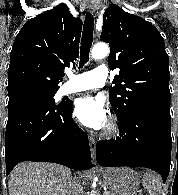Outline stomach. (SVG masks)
<instances>
[{"label": "stomach", "instance_id": "1", "mask_svg": "<svg viewBox=\"0 0 178 195\" xmlns=\"http://www.w3.org/2000/svg\"><path fill=\"white\" fill-rule=\"evenodd\" d=\"M109 195H137L140 185L139 175L131 168H106L102 172Z\"/></svg>", "mask_w": 178, "mask_h": 195}]
</instances>
